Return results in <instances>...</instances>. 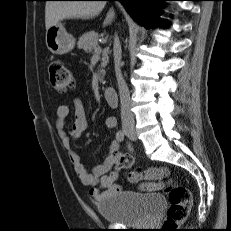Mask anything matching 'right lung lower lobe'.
<instances>
[{"mask_svg":"<svg viewBox=\"0 0 231 231\" xmlns=\"http://www.w3.org/2000/svg\"><path fill=\"white\" fill-rule=\"evenodd\" d=\"M113 1V0H105ZM124 4L125 9L138 23L148 28L153 20L159 22L157 13L160 11L161 3L166 0H117ZM125 1H134L135 3L127 7Z\"/></svg>","mask_w":231,"mask_h":231,"instance_id":"obj_1","label":"right lung lower lobe"}]
</instances>
